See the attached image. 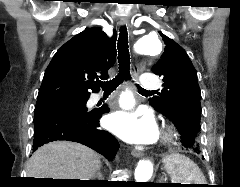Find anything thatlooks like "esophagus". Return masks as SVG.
<instances>
[{
  "label": "esophagus",
  "mask_w": 240,
  "mask_h": 187,
  "mask_svg": "<svg viewBox=\"0 0 240 187\" xmlns=\"http://www.w3.org/2000/svg\"><path fill=\"white\" fill-rule=\"evenodd\" d=\"M120 24L125 25L127 27V29L129 30V32L130 33L132 32L131 26H130L127 18H121ZM138 75H139V65H138L137 59L134 58L133 64H132V76H133V78H138ZM131 154L134 157H142L144 155V150L142 147H136V148L132 149Z\"/></svg>",
  "instance_id": "obj_1"
}]
</instances>
